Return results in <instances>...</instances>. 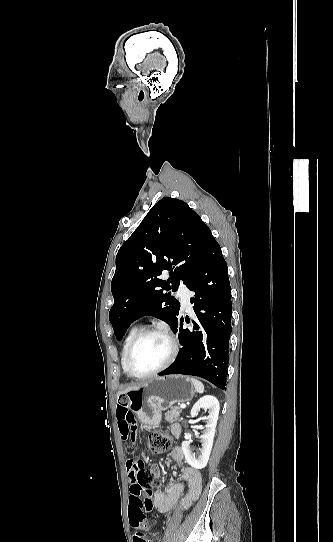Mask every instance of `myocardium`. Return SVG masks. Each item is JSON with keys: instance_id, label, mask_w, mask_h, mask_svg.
<instances>
[{"instance_id": "f54148a6", "label": "myocardium", "mask_w": 333, "mask_h": 542, "mask_svg": "<svg viewBox=\"0 0 333 542\" xmlns=\"http://www.w3.org/2000/svg\"><path fill=\"white\" fill-rule=\"evenodd\" d=\"M129 236L131 237V235ZM154 334L162 336L167 341L168 346H169L168 356L165 362L156 370L144 375H136L132 372L131 367H130V360H131V356L134 351V348L144 337L149 336V335H154ZM177 354H178V344H177V339L175 335L173 334V332L170 331L165 326H149V327L141 329L139 333L135 336V338L131 341L128 351H127V355H126L125 369H126L127 374L132 378H136V379L151 378L159 374L160 372L164 371L165 369H167L174 362V360L177 357Z\"/></svg>"}]
</instances>
